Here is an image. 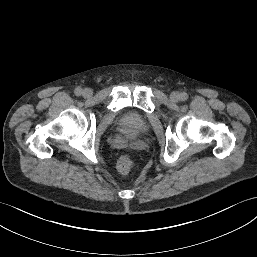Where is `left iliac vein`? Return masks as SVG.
Listing matches in <instances>:
<instances>
[{"mask_svg": "<svg viewBox=\"0 0 257 257\" xmlns=\"http://www.w3.org/2000/svg\"><path fill=\"white\" fill-rule=\"evenodd\" d=\"M170 99L173 102H177L180 99V94L178 92L174 91L170 94Z\"/></svg>", "mask_w": 257, "mask_h": 257, "instance_id": "1", "label": "left iliac vein"}]
</instances>
